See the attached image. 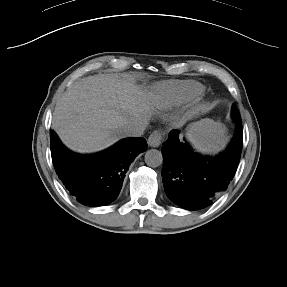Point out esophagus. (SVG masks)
<instances>
[{
    "instance_id": "1",
    "label": "esophagus",
    "mask_w": 287,
    "mask_h": 287,
    "mask_svg": "<svg viewBox=\"0 0 287 287\" xmlns=\"http://www.w3.org/2000/svg\"><path fill=\"white\" fill-rule=\"evenodd\" d=\"M164 134L162 131L156 130L152 132V134L148 138V144L151 147H159L160 144L162 143Z\"/></svg>"
}]
</instances>
